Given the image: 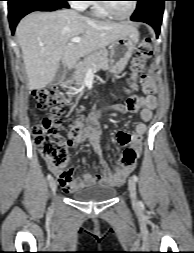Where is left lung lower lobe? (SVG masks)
Returning a JSON list of instances; mask_svg holds the SVG:
<instances>
[{
    "label": "left lung lower lobe",
    "mask_w": 194,
    "mask_h": 253,
    "mask_svg": "<svg viewBox=\"0 0 194 253\" xmlns=\"http://www.w3.org/2000/svg\"><path fill=\"white\" fill-rule=\"evenodd\" d=\"M137 8L131 16L132 21H141L151 25L158 36L164 11V2L167 0H136Z\"/></svg>",
    "instance_id": "1"
}]
</instances>
